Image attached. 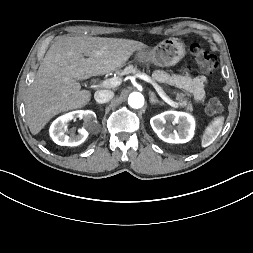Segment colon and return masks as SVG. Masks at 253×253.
Wrapping results in <instances>:
<instances>
[{
    "mask_svg": "<svg viewBox=\"0 0 253 253\" xmlns=\"http://www.w3.org/2000/svg\"><path fill=\"white\" fill-rule=\"evenodd\" d=\"M191 53L197 65L204 73H213L218 68L219 62L217 57L202 45L198 43L192 44ZM206 110L209 114L216 115L222 112L223 105L217 97H211L207 101Z\"/></svg>",
    "mask_w": 253,
    "mask_h": 253,
    "instance_id": "obj_1",
    "label": "colon"
}]
</instances>
